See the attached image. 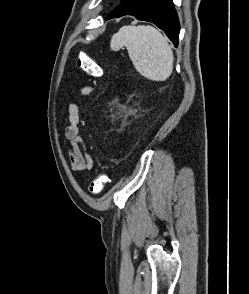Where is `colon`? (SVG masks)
Returning <instances> with one entry per match:
<instances>
[{
	"instance_id": "1",
	"label": "colon",
	"mask_w": 249,
	"mask_h": 294,
	"mask_svg": "<svg viewBox=\"0 0 249 294\" xmlns=\"http://www.w3.org/2000/svg\"><path fill=\"white\" fill-rule=\"evenodd\" d=\"M77 67L92 77H99L102 75V68L100 65L85 54L78 55ZM108 181L109 177L107 174H99L91 181L89 185V192L93 195L99 194L104 189Z\"/></svg>"
}]
</instances>
